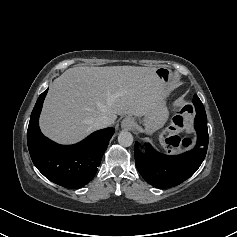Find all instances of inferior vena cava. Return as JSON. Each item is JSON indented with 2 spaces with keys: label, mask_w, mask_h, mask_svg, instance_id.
<instances>
[{
  "label": "inferior vena cava",
  "mask_w": 237,
  "mask_h": 237,
  "mask_svg": "<svg viewBox=\"0 0 237 237\" xmlns=\"http://www.w3.org/2000/svg\"><path fill=\"white\" fill-rule=\"evenodd\" d=\"M112 124V121L109 117L107 116H99L97 117L94 122H93V126L96 129H101V128H105L108 127Z\"/></svg>",
  "instance_id": "1"
}]
</instances>
